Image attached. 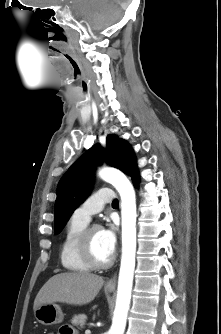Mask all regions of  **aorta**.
Masks as SVG:
<instances>
[{"label": "aorta", "mask_w": 221, "mask_h": 334, "mask_svg": "<svg viewBox=\"0 0 221 334\" xmlns=\"http://www.w3.org/2000/svg\"><path fill=\"white\" fill-rule=\"evenodd\" d=\"M99 177L111 183L121 197L122 257L118 278L116 305L108 334H124L130 307L136 255V198L128 178L114 168H103Z\"/></svg>", "instance_id": "aorta-1"}]
</instances>
